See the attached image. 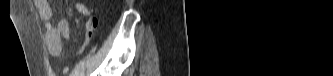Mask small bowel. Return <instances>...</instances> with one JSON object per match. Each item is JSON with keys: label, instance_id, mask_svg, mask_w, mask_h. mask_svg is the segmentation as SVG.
<instances>
[{"label": "small bowel", "instance_id": "obj_1", "mask_svg": "<svg viewBox=\"0 0 333 76\" xmlns=\"http://www.w3.org/2000/svg\"><path fill=\"white\" fill-rule=\"evenodd\" d=\"M34 4L38 9L39 17L45 24V42L50 55L60 56L62 52V39L70 34V23L66 19H61L56 25L51 22L52 8L47 0H34ZM75 8L79 13L87 17L85 23V42L84 46L89 43V40L97 27L98 19L91 16L89 8L77 1ZM83 46V47H84Z\"/></svg>", "mask_w": 333, "mask_h": 76}]
</instances>
